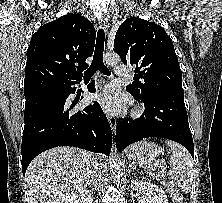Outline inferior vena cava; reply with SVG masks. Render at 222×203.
Instances as JSON below:
<instances>
[{
  "label": "inferior vena cava",
  "instance_id": "obj_1",
  "mask_svg": "<svg viewBox=\"0 0 222 203\" xmlns=\"http://www.w3.org/2000/svg\"><path fill=\"white\" fill-rule=\"evenodd\" d=\"M97 170H98V164H93V169H92V172L93 174L95 175L97 173Z\"/></svg>",
  "mask_w": 222,
  "mask_h": 203
}]
</instances>
